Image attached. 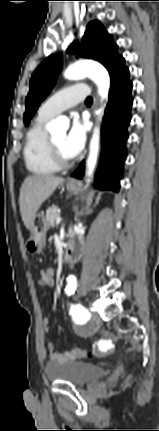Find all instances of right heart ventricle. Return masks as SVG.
I'll return each mask as SVG.
<instances>
[{"instance_id":"e07e8e85","label":"right heart ventricle","mask_w":159,"mask_h":431,"mask_svg":"<svg viewBox=\"0 0 159 431\" xmlns=\"http://www.w3.org/2000/svg\"><path fill=\"white\" fill-rule=\"evenodd\" d=\"M50 118L39 113L25 138L23 148L25 166L36 175H51L59 170L52 160L49 135L45 129V124Z\"/></svg>"}]
</instances>
